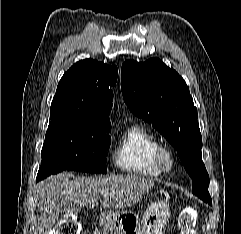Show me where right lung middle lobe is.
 Here are the masks:
<instances>
[{"instance_id": "obj_1", "label": "right lung middle lobe", "mask_w": 241, "mask_h": 234, "mask_svg": "<svg viewBox=\"0 0 241 234\" xmlns=\"http://www.w3.org/2000/svg\"><path fill=\"white\" fill-rule=\"evenodd\" d=\"M38 179L64 170L106 173L111 126L84 124L66 111L50 112Z\"/></svg>"}]
</instances>
